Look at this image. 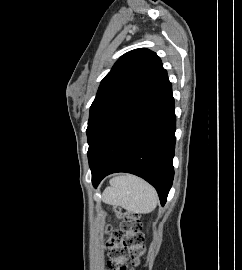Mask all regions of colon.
Returning <instances> with one entry per match:
<instances>
[{"instance_id": "colon-1", "label": "colon", "mask_w": 242, "mask_h": 270, "mask_svg": "<svg viewBox=\"0 0 242 270\" xmlns=\"http://www.w3.org/2000/svg\"><path fill=\"white\" fill-rule=\"evenodd\" d=\"M126 221L121 232L109 230L108 248V270H130L127 262L138 264L141 256L145 253L144 235L140 230L137 215L133 213H120Z\"/></svg>"}]
</instances>
